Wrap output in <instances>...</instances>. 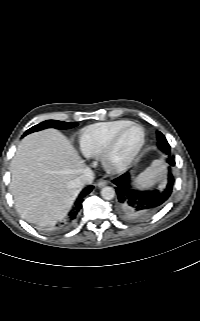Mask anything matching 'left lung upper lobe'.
Instances as JSON below:
<instances>
[{
	"instance_id": "1",
	"label": "left lung upper lobe",
	"mask_w": 200,
	"mask_h": 321,
	"mask_svg": "<svg viewBox=\"0 0 200 321\" xmlns=\"http://www.w3.org/2000/svg\"><path fill=\"white\" fill-rule=\"evenodd\" d=\"M157 138H158V147L162 152L166 151V148H169L170 145L168 144L166 138L161 132H157Z\"/></svg>"
}]
</instances>
